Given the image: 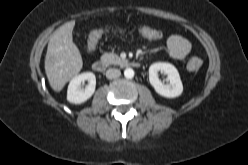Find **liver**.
<instances>
[{"mask_svg":"<svg viewBox=\"0 0 248 165\" xmlns=\"http://www.w3.org/2000/svg\"><path fill=\"white\" fill-rule=\"evenodd\" d=\"M75 21L60 26L50 37L45 57V72L51 88L60 92L65 84L82 69L78 47L73 42Z\"/></svg>","mask_w":248,"mask_h":165,"instance_id":"liver-1","label":"liver"}]
</instances>
